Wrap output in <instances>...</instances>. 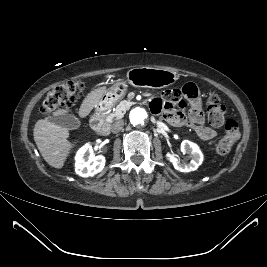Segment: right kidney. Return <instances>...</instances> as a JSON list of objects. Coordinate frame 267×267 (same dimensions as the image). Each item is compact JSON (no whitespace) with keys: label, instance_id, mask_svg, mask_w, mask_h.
<instances>
[{"label":"right kidney","instance_id":"1","mask_svg":"<svg viewBox=\"0 0 267 267\" xmlns=\"http://www.w3.org/2000/svg\"><path fill=\"white\" fill-rule=\"evenodd\" d=\"M104 156H94L92 146L87 143L82 146L75 156V172L81 177H92L101 172L105 166Z\"/></svg>","mask_w":267,"mask_h":267}]
</instances>
